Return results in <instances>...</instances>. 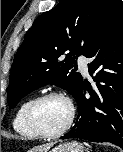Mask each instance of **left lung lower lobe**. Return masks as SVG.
<instances>
[{
	"label": "left lung lower lobe",
	"instance_id": "left-lung-lower-lobe-1",
	"mask_svg": "<svg viewBox=\"0 0 123 152\" xmlns=\"http://www.w3.org/2000/svg\"><path fill=\"white\" fill-rule=\"evenodd\" d=\"M96 87L82 83L75 99L78 122L61 139L81 138L110 142L123 149V3L108 17L100 37L87 55Z\"/></svg>",
	"mask_w": 123,
	"mask_h": 152
}]
</instances>
